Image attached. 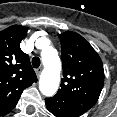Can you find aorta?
I'll return each instance as SVG.
<instances>
[{"instance_id":"obj_1","label":"aorta","mask_w":117,"mask_h":117,"mask_svg":"<svg viewBox=\"0 0 117 117\" xmlns=\"http://www.w3.org/2000/svg\"><path fill=\"white\" fill-rule=\"evenodd\" d=\"M38 44L43 46L41 58L44 69L40 75L39 89L46 97L53 96L60 84L61 62L56 49L49 46L50 41L47 38H40Z\"/></svg>"}]
</instances>
